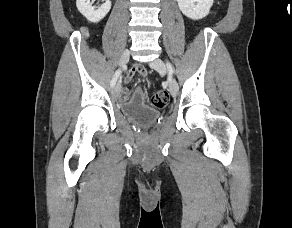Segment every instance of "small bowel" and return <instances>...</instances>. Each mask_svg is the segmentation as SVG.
I'll list each match as a JSON object with an SVG mask.
<instances>
[{"label": "small bowel", "mask_w": 292, "mask_h": 228, "mask_svg": "<svg viewBox=\"0 0 292 228\" xmlns=\"http://www.w3.org/2000/svg\"><path fill=\"white\" fill-rule=\"evenodd\" d=\"M135 75H138L142 78L146 77V68L141 64H135L126 75L124 79L125 83L130 82ZM120 99L122 101H130V103L134 104H143L145 101L144 92L141 88H136L133 93H130L129 89L123 88L120 94Z\"/></svg>", "instance_id": "obj_1"}]
</instances>
